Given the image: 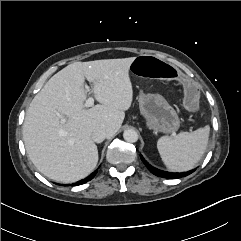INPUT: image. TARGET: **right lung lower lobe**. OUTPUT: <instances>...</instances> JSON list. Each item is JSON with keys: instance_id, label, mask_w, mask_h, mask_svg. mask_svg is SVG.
<instances>
[{"instance_id": "98d812e1", "label": "right lung lower lobe", "mask_w": 241, "mask_h": 241, "mask_svg": "<svg viewBox=\"0 0 241 241\" xmlns=\"http://www.w3.org/2000/svg\"><path fill=\"white\" fill-rule=\"evenodd\" d=\"M96 173H97V171H95L94 173H92V174H91L89 177H87L86 179H83V180L77 182L76 185H81V184H84V183L90 181L91 179L94 178V176L96 175Z\"/></svg>"}]
</instances>
